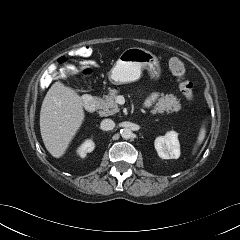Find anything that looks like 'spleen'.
<instances>
[{"label":"spleen","mask_w":240,"mask_h":240,"mask_svg":"<svg viewBox=\"0 0 240 240\" xmlns=\"http://www.w3.org/2000/svg\"><path fill=\"white\" fill-rule=\"evenodd\" d=\"M205 135H206V129H205V125L203 124L202 127L200 128V131H199V134L197 137V141H196V144L193 149V153L196 152L197 147L203 142Z\"/></svg>","instance_id":"3e777b00"}]
</instances>
